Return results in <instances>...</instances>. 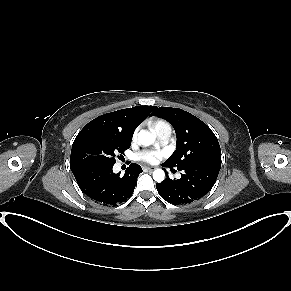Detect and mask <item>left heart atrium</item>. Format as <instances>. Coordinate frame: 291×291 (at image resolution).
Here are the masks:
<instances>
[{
    "instance_id": "obj_1",
    "label": "left heart atrium",
    "mask_w": 291,
    "mask_h": 291,
    "mask_svg": "<svg viewBox=\"0 0 291 291\" xmlns=\"http://www.w3.org/2000/svg\"><path fill=\"white\" fill-rule=\"evenodd\" d=\"M162 156L163 152L161 151H145L139 154V158L148 163H155Z\"/></svg>"
}]
</instances>
